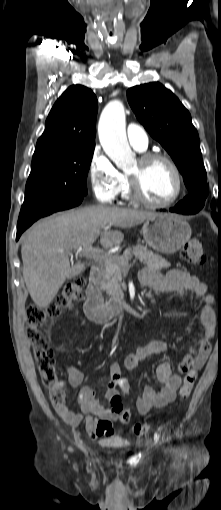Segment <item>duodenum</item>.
Returning <instances> with one entry per match:
<instances>
[{"mask_svg": "<svg viewBox=\"0 0 221 510\" xmlns=\"http://www.w3.org/2000/svg\"><path fill=\"white\" fill-rule=\"evenodd\" d=\"M101 274L99 266L91 267L83 304L87 318L97 324L106 323L113 317L124 313L128 307V303L121 299L111 300L107 305L104 304L100 288Z\"/></svg>", "mask_w": 221, "mask_h": 510, "instance_id": "obj_1", "label": "duodenum"}]
</instances>
